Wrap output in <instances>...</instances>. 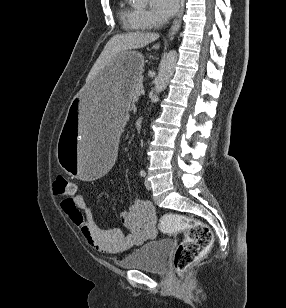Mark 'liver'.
I'll return each instance as SVG.
<instances>
[{"label":"liver","instance_id":"6515ba94","mask_svg":"<svg viewBox=\"0 0 286 308\" xmlns=\"http://www.w3.org/2000/svg\"><path fill=\"white\" fill-rule=\"evenodd\" d=\"M159 35L156 33L131 32L113 36L105 45L99 58L89 72L86 84L112 59L119 54L132 49H139L147 46L149 43L156 41ZM160 45H153L152 49H159Z\"/></svg>","mask_w":286,"mask_h":308}]
</instances>
